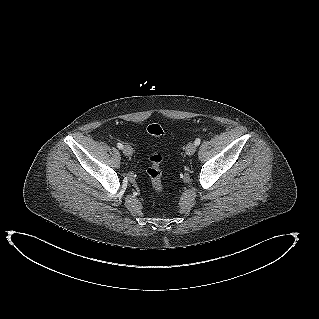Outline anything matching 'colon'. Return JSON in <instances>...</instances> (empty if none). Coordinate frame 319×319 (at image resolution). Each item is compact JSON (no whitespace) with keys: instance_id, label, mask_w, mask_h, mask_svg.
Returning a JSON list of instances; mask_svg holds the SVG:
<instances>
[{"instance_id":"1","label":"colon","mask_w":319,"mask_h":319,"mask_svg":"<svg viewBox=\"0 0 319 319\" xmlns=\"http://www.w3.org/2000/svg\"><path fill=\"white\" fill-rule=\"evenodd\" d=\"M147 134L151 137H160L164 134L163 127L158 123H153L147 127ZM163 155L160 151L154 150L149 156V167L147 176L151 182L153 190L161 194L163 192L161 162Z\"/></svg>"}]
</instances>
